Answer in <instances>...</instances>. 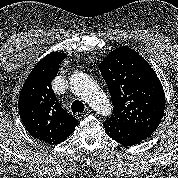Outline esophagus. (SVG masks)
Segmentation results:
<instances>
[{"label":"esophagus","instance_id":"34e87169","mask_svg":"<svg viewBox=\"0 0 178 178\" xmlns=\"http://www.w3.org/2000/svg\"><path fill=\"white\" fill-rule=\"evenodd\" d=\"M91 111L90 110H86L85 112L81 113V112H78L75 114L76 118L77 119H81L82 117H85L87 116Z\"/></svg>","mask_w":178,"mask_h":178}]
</instances>
